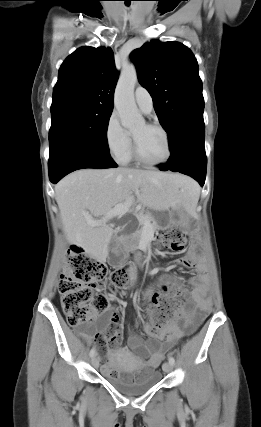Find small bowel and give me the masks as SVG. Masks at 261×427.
Instances as JSON below:
<instances>
[{"mask_svg":"<svg viewBox=\"0 0 261 427\" xmlns=\"http://www.w3.org/2000/svg\"><path fill=\"white\" fill-rule=\"evenodd\" d=\"M174 265H181L188 268H195L197 274L188 280L192 287L190 296L192 303L180 313L183 325L180 326L176 321L162 330L160 335L153 336L149 340H144L137 333L130 331L128 335V344L136 352V356L128 355L127 362L135 367L138 374H147L156 369L164 354L182 337L191 334L202 322L209 308L207 299V279L201 267L197 264L193 255L178 259ZM169 276H163V284L169 282ZM152 296V289H149L145 298ZM123 304V302H121ZM119 311L113 308L103 315L95 327H83L78 330L79 334L88 342H96L101 353H105L108 345H115L118 342L120 331L116 330L114 334L109 331V323L119 319ZM147 357L146 360L142 361ZM104 368V367H103Z\"/></svg>","mask_w":261,"mask_h":427,"instance_id":"c3829d8e","label":"small bowel"}]
</instances>
